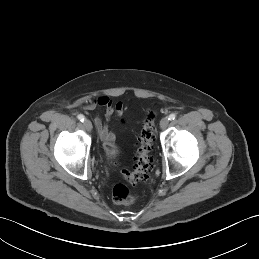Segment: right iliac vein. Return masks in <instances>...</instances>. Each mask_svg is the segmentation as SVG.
Returning <instances> with one entry per match:
<instances>
[{
	"mask_svg": "<svg viewBox=\"0 0 259 259\" xmlns=\"http://www.w3.org/2000/svg\"><path fill=\"white\" fill-rule=\"evenodd\" d=\"M84 126L87 131H91L93 128L92 123L89 120H84Z\"/></svg>",
	"mask_w": 259,
	"mask_h": 259,
	"instance_id": "63e3f726",
	"label": "right iliac vein"
}]
</instances>
